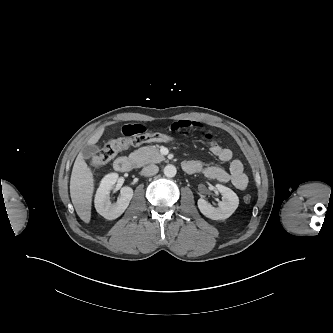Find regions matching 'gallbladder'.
Instances as JSON below:
<instances>
[{
  "label": "gallbladder",
  "instance_id": "obj_1",
  "mask_svg": "<svg viewBox=\"0 0 333 333\" xmlns=\"http://www.w3.org/2000/svg\"><path fill=\"white\" fill-rule=\"evenodd\" d=\"M99 152V148L96 145H85L82 149V154L86 158H91Z\"/></svg>",
  "mask_w": 333,
  "mask_h": 333
}]
</instances>
